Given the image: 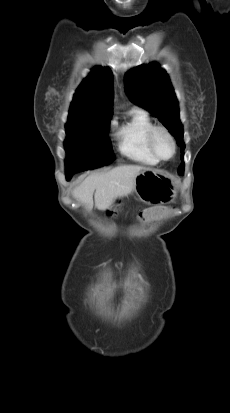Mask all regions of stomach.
<instances>
[{
	"label": "stomach",
	"mask_w": 230,
	"mask_h": 413,
	"mask_svg": "<svg viewBox=\"0 0 230 413\" xmlns=\"http://www.w3.org/2000/svg\"><path fill=\"white\" fill-rule=\"evenodd\" d=\"M175 182L165 172L143 168L134 181L138 199L149 205H164L176 196Z\"/></svg>",
	"instance_id": "0dacf381"
}]
</instances>
